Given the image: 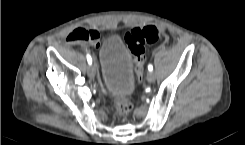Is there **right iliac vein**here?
<instances>
[{"label":"right iliac vein","mask_w":245,"mask_h":145,"mask_svg":"<svg viewBox=\"0 0 245 145\" xmlns=\"http://www.w3.org/2000/svg\"><path fill=\"white\" fill-rule=\"evenodd\" d=\"M95 73H96L95 66L94 65L89 66L88 67V76L90 79H94Z\"/></svg>","instance_id":"63e3f726"}]
</instances>
